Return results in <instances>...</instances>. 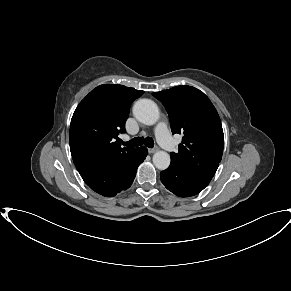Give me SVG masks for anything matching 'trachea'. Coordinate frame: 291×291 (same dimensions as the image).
<instances>
[{"label":"trachea","instance_id":"trachea-1","mask_svg":"<svg viewBox=\"0 0 291 291\" xmlns=\"http://www.w3.org/2000/svg\"><path fill=\"white\" fill-rule=\"evenodd\" d=\"M122 144L127 146V147H138L140 145H143L145 144L147 147L149 148H153L154 146V140L150 137H146V138H143V137H137V138H134L128 142H123L122 141Z\"/></svg>","mask_w":291,"mask_h":291}]
</instances>
